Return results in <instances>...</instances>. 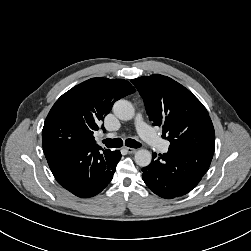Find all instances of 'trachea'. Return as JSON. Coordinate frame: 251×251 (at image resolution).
Returning a JSON list of instances; mask_svg holds the SVG:
<instances>
[{"mask_svg": "<svg viewBox=\"0 0 251 251\" xmlns=\"http://www.w3.org/2000/svg\"><path fill=\"white\" fill-rule=\"evenodd\" d=\"M106 147L108 148H119L123 145V141L120 138H116V139H104L102 141ZM125 145L131 148H139L141 146V144L139 142H137L134 139H126L125 140Z\"/></svg>", "mask_w": 251, "mask_h": 251, "instance_id": "obj_1", "label": "trachea"}]
</instances>
